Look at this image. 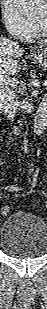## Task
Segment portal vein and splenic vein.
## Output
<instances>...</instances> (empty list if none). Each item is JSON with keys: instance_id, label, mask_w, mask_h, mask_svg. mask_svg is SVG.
<instances>
[{"instance_id": "portal-vein-and-splenic-vein-1", "label": "portal vein and splenic vein", "mask_w": 47, "mask_h": 309, "mask_svg": "<svg viewBox=\"0 0 47 309\" xmlns=\"http://www.w3.org/2000/svg\"><path fill=\"white\" fill-rule=\"evenodd\" d=\"M1 81L3 82V83H8V84H10V85H12V86H15V85H17L18 84V81H16V80H12V79H6V78H2L1 79Z\"/></svg>"}]
</instances>
